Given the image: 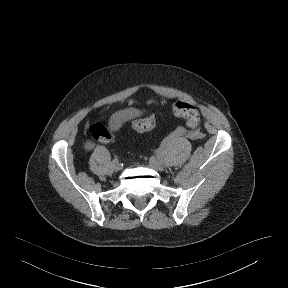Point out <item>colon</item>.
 Here are the masks:
<instances>
[{
	"mask_svg": "<svg viewBox=\"0 0 288 288\" xmlns=\"http://www.w3.org/2000/svg\"><path fill=\"white\" fill-rule=\"evenodd\" d=\"M172 111L177 116L182 118L189 128H195L200 122V112L196 106L177 101L172 105ZM157 115L151 114L149 117L141 120H135L131 123L134 131L145 132L153 127L156 123ZM90 135L99 143H112L114 137L112 133L102 124H94L89 128Z\"/></svg>",
	"mask_w": 288,
	"mask_h": 288,
	"instance_id": "obj_1",
	"label": "colon"
}]
</instances>
